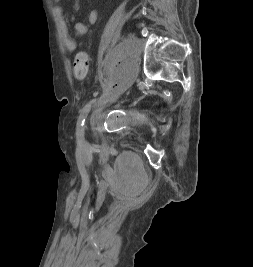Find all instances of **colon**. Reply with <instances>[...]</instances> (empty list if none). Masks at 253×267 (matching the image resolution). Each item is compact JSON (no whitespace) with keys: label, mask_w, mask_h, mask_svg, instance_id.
I'll list each match as a JSON object with an SVG mask.
<instances>
[{"label":"colon","mask_w":253,"mask_h":267,"mask_svg":"<svg viewBox=\"0 0 253 267\" xmlns=\"http://www.w3.org/2000/svg\"><path fill=\"white\" fill-rule=\"evenodd\" d=\"M88 72V58L84 52H79L73 61V74L77 79H84Z\"/></svg>","instance_id":"colon-1"}]
</instances>
